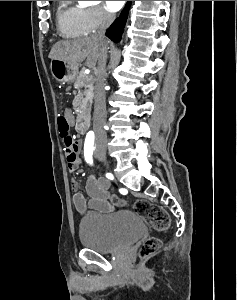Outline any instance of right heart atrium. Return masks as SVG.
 <instances>
[{"mask_svg":"<svg viewBox=\"0 0 237 300\" xmlns=\"http://www.w3.org/2000/svg\"><path fill=\"white\" fill-rule=\"evenodd\" d=\"M113 21V15L100 5H93L82 9L81 28L85 34L107 26Z\"/></svg>","mask_w":237,"mask_h":300,"instance_id":"d8ad5b80","label":"right heart atrium"}]
</instances>
